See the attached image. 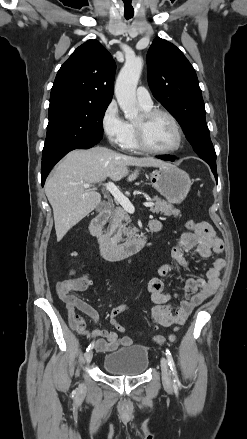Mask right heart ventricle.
I'll use <instances>...</instances> for the list:
<instances>
[{
	"label": "right heart ventricle",
	"mask_w": 247,
	"mask_h": 439,
	"mask_svg": "<svg viewBox=\"0 0 247 439\" xmlns=\"http://www.w3.org/2000/svg\"><path fill=\"white\" fill-rule=\"evenodd\" d=\"M143 110H149L150 107H144L141 106ZM127 126H128V133H127V137L124 141V144L122 146V148H124L125 150H129V151H137L140 150L137 141H136V135H135V127H134V123H128L127 122Z\"/></svg>",
	"instance_id": "e07e8e85"
}]
</instances>
